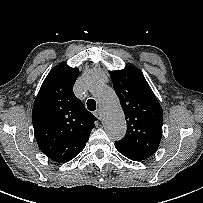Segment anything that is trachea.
Segmentation results:
<instances>
[{
    "label": "trachea",
    "mask_w": 203,
    "mask_h": 203,
    "mask_svg": "<svg viewBox=\"0 0 203 203\" xmlns=\"http://www.w3.org/2000/svg\"><path fill=\"white\" fill-rule=\"evenodd\" d=\"M87 108L90 111H94L96 110V101L94 99H89L87 101Z\"/></svg>",
    "instance_id": "trachea-1"
}]
</instances>
